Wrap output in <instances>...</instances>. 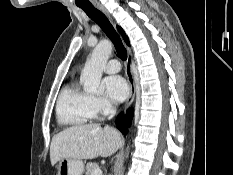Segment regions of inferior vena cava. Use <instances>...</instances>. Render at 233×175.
I'll return each mask as SVG.
<instances>
[{"label":"inferior vena cava","instance_id":"obj_1","mask_svg":"<svg viewBox=\"0 0 233 175\" xmlns=\"http://www.w3.org/2000/svg\"><path fill=\"white\" fill-rule=\"evenodd\" d=\"M115 113H116V110L114 108H112V105L110 104V116H109V119L113 118Z\"/></svg>","mask_w":233,"mask_h":175}]
</instances>
